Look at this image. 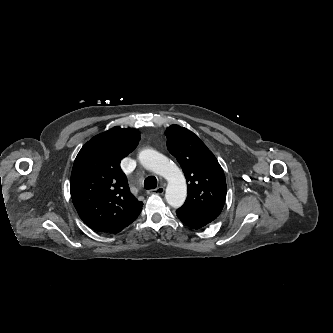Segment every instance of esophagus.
Here are the masks:
<instances>
[{
    "mask_svg": "<svg viewBox=\"0 0 333 333\" xmlns=\"http://www.w3.org/2000/svg\"><path fill=\"white\" fill-rule=\"evenodd\" d=\"M165 189L164 187L160 186L156 189H153V190H149L147 193L148 194H159V195H162L164 193Z\"/></svg>",
    "mask_w": 333,
    "mask_h": 333,
    "instance_id": "esophagus-1",
    "label": "esophagus"
}]
</instances>
